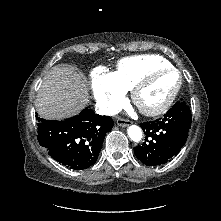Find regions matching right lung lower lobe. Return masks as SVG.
<instances>
[{"instance_id":"98d812e1","label":"right lung lower lobe","mask_w":221,"mask_h":221,"mask_svg":"<svg viewBox=\"0 0 221 221\" xmlns=\"http://www.w3.org/2000/svg\"><path fill=\"white\" fill-rule=\"evenodd\" d=\"M37 119L39 144L54 160L73 170L87 169L96 162L105 135L113 127L110 116L88 108L62 121Z\"/></svg>"}]
</instances>
